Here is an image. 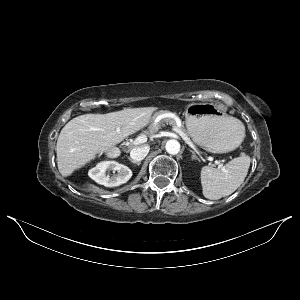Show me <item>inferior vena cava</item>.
I'll list each match as a JSON object with an SVG mask.
<instances>
[{
    "label": "inferior vena cava",
    "instance_id": "602c4592",
    "mask_svg": "<svg viewBox=\"0 0 300 300\" xmlns=\"http://www.w3.org/2000/svg\"><path fill=\"white\" fill-rule=\"evenodd\" d=\"M149 150H150V147L148 145L136 147L131 150L130 157L135 161H141L147 156V154L149 153Z\"/></svg>",
    "mask_w": 300,
    "mask_h": 300
}]
</instances>
